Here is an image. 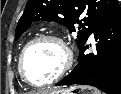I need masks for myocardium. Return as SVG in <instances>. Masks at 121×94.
I'll list each match as a JSON object with an SVG mask.
<instances>
[{"mask_svg":"<svg viewBox=\"0 0 121 94\" xmlns=\"http://www.w3.org/2000/svg\"><path fill=\"white\" fill-rule=\"evenodd\" d=\"M42 41H51L56 43L62 50L63 62L59 71L52 79L38 84V83L32 82L26 75V72L24 69V60L30 48ZM72 64H73V53L70 47L66 44V42L62 38L56 35L44 34V35L37 36L34 39L30 40L28 43H26V45L23 47L19 55L17 67H18V72L25 83L33 87H46L61 80L70 70Z\"/></svg>","mask_w":121,"mask_h":94,"instance_id":"f54148a6","label":"myocardium"}]
</instances>
